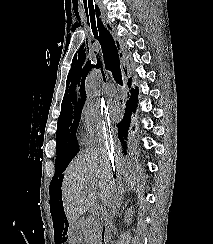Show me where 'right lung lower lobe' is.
<instances>
[{
  "instance_id": "obj_1",
  "label": "right lung lower lobe",
  "mask_w": 213,
  "mask_h": 244,
  "mask_svg": "<svg viewBox=\"0 0 213 244\" xmlns=\"http://www.w3.org/2000/svg\"><path fill=\"white\" fill-rule=\"evenodd\" d=\"M130 87V85H129ZM137 96L138 89L130 90V99L126 103V110L123 120L117 125L118 127V137L123 146V153H127V149L129 146V138H128V130L131 122V114L137 108Z\"/></svg>"
}]
</instances>
